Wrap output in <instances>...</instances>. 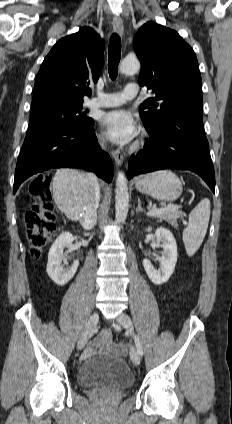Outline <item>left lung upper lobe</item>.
Returning a JSON list of instances; mask_svg holds the SVG:
<instances>
[{
    "label": "left lung upper lobe",
    "instance_id": "left-lung-upper-lobe-1",
    "mask_svg": "<svg viewBox=\"0 0 232 424\" xmlns=\"http://www.w3.org/2000/svg\"><path fill=\"white\" fill-rule=\"evenodd\" d=\"M134 49L141 62L139 83L155 95L139 108L148 128H160L168 117L179 112H202L198 61L176 31L147 22L135 35ZM157 100L162 102L158 104Z\"/></svg>",
    "mask_w": 232,
    "mask_h": 424
}]
</instances>
